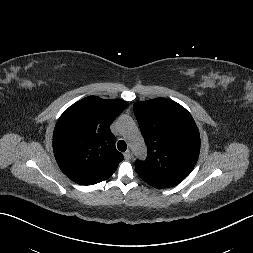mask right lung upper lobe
<instances>
[{
    "label": "right lung upper lobe",
    "mask_w": 253,
    "mask_h": 253,
    "mask_svg": "<svg viewBox=\"0 0 253 253\" xmlns=\"http://www.w3.org/2000/svg\"><path fill=\"white\" fill-rule=\"evenodd\" d=\"M127 107L122 100L89 96L61 115L54 128L53 151L68 178L93 185L112 176L123 155L116 150L110 125Z\"/></svg>",
    "instance_id": "1"
}]
</instances>
